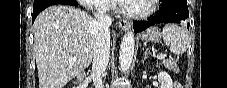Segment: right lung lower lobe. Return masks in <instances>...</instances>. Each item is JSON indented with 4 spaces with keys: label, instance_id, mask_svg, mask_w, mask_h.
<instances>
[{
    "label": "right lung lower lobe",
    "instance_id": "obj_1",
    "mask_svg": "<svg viewBox=\"0 0 227 88\" xmlns=\"http://www.w3.org/2000/svg\"><path fill=\"white\" fill-rule=\"evenodd\" d=\"M58 3H64V0H35L33 6L32 22H34L37 15L46 7Z\"/></svg>",
    "mask_w": 227,
    "mask_h": 88
}]
</instances>
